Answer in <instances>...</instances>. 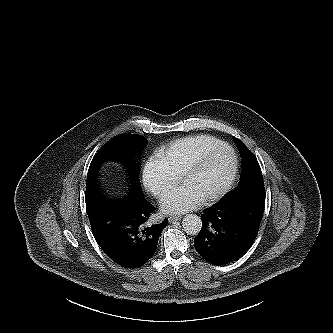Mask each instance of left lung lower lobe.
I'll list each match as a JSON object with an SVG mask.
<instances>
[{
    "instance_id": "1",
    "label": "left lung lower lobe",
    "mask_w": 333,
    "mask_h": 333,
    "mask_svg": "<svg viewBox=\"0 0 333 333\" xmlns=\"http://www.w3.org/2000/svg\"><path fill=\"white\" fill-rule=\"evenodd\" d=\"M264 183L233 190L203 210L196 251L220 266L241 258L254 243L265 208Z\"/></svg>"
}]
</instances>
